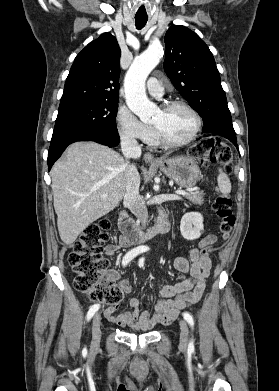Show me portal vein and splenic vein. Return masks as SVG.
Instances as JSON below:
<instances>
[{"label": "portal vein and splenic vein", "mask_w": 279, "mask_h": 391, "mask_svg": "<svg viewBox=\"0 0 279 391\" xmlns=\"http://www.w3.org/2000/svg\"><path fill=\"white\" fill-rule=\"evenodd\" d=\"M175 193L178 194V195H187V194H189L188 192L183 191V190H176ZM103 197H106V195H103Z\"/></svg>", "instance_id": "obj_1"}]
</instances>
